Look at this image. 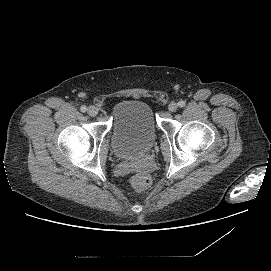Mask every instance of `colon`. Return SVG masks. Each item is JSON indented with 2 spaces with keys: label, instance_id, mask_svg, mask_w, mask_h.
<instances>
[{
  "label": "colon",
  "instance_id": "5ec220e1",
  "mask_svg": "<svg viewBox=\"0 0 271 271\" xmlns=\"http://www.w3.org/2000/svg\"><path fill=\"white\" fill-rule=\"evenodd\" d=\"M130 183L136 191L140 192L146 190L150 186L151 178L148 174L139 172L131 177Z\"/></svg>",
  "mask_w": 271,
  "mask_h": 271
}]
</instances>
